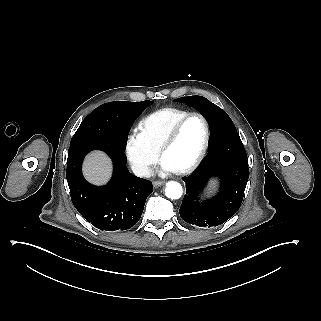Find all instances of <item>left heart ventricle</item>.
Wrapping results in <instances>:
<instances>
[{"mask_svg": "<svg viewBox=\"0 0 321 321\" xmlns=\"http://www.w3.org/2000/svg\"><path fill=\"white\" fill-rule=\"evenodd\" d=\"M204 139V125L200 118L188 120L180 128L175 140L168 145L163 156L168 158L177 170L184 169L198 154Z\"/></svg>", "mask_w": 321, "mask_h": 321, "instance_id": "b2bd125f", "label": "left heart ventricle"}]
</instances>
